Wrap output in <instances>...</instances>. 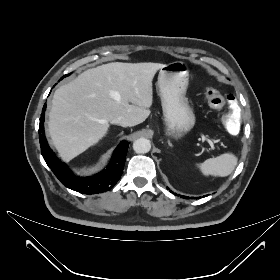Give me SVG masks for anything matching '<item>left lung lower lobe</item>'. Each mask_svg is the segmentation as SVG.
Returning a JSON list of instances; mask_svg holds the SVG:
<instances>
[{
	"label": "left lung lower lobe",
	"mask_w": 280,
	"mask_h": 280,
	"mask_svg": "<svg viewBox=\"0 0 280 280\" xmlns=\"http://www.w3.org/2000/svg\"><path fill=\"white\" fill-rule=\"evenodd\" d=\"M167 189H169V188H167ZM170 192H172L171 190H169ZM173 193V192H172ZM174 195H176V194H174ZM181 197H183V198H189V197H186V196H181Z\"/></svg>",
	"instance_id": "left-lung-lower-lobe-1"
}]
</instances>
